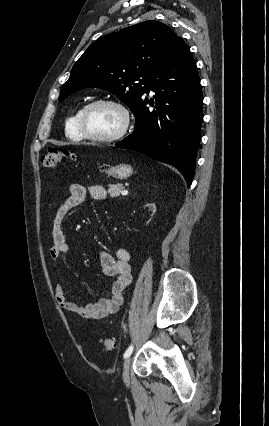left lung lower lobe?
Returning <instances> with one entry per match:
<instances>
[{"label": "left lung lower lobe", "instance_id": "1", "mask_svg": "<svg viewBox=\"0 0 269 426\" xmlns=\"http://www.w3.org/2000/svg\"><path fill=\"white\" fill-rule=\"evenodd\" d=\"M148 83L146 93L155 92L154 109L146 107L148 99L143 98L132 110L136 117L133 133L116 146L175 166L189 187L201 136L203 95L195 60L180 37L157 64Z\"/></svg>", "mask_w": 269, "mask_h": 426}]
</instances>
